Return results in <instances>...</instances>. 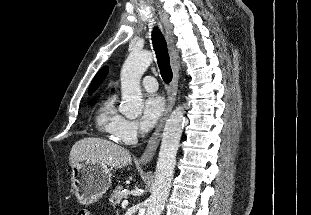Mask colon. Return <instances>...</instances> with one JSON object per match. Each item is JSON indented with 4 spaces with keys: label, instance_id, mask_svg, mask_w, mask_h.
<instances>
[{
    "label": "colon",
    "instance_id": "1",
    "mask_svg": "<svg viewBox=\"0 0 311 215\" xmlns=\"http://www.w3.org/2000/svg\"><path fill=\"white\" fill-rule=\"evenodd\" d=\"M77 215H90V213L85 209H81L78 211Z\"/></svg>",
    "mask_w": 311,
    "mask_h": 215
}]
</instances>
